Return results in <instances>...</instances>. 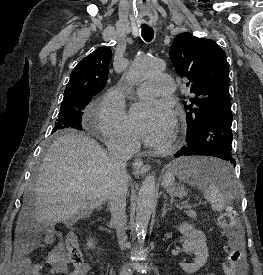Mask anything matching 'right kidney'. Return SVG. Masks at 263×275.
I'll return each instance as SVG.
<instances>
[{
  "label": "right kidney",
  "mask_w": 263,
  "mask_h": 275,
  "mask_svg": "<svg viewBox=\"0 0 263 275\" xmlns=\"http://www.w3.org/2000/svg\"><path fill=\"white\" fill-rule=\"evenodd\" d=\"M87 248L88 249L94 248V240L93 239H88L87 240Z\"/></svg>",
  "instance_id": "right-kidney-1"
}]
</instances>
